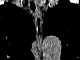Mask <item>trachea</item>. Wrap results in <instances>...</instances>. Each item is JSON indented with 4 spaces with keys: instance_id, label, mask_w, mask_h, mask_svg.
Masks as SVG:
<instances>
[{
    "instance_id": "3493384b",
    "label": "trachea",
    "mask_w": 80,
    "mask_h": 60,
    "mask_svg": "<svg viewBox=\"0 0 80 60\" xmlns=\"http://www.w3.org/2000/svg\"><path fill=\"white\" fill-rule=\"evenodd\" d=\"M30 8H31V10H33V11L35 10V4H34V2H31V3H30Z\"/></svg>"
}]
</instances>
